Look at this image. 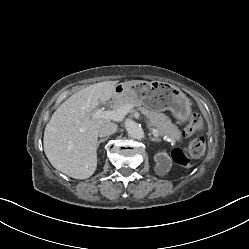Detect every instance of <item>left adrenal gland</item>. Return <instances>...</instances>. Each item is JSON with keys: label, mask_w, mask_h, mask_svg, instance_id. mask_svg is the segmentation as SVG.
Masks as SVG:
<instances>
[{"label": "left adrenal gland", "mask_w": 249, "mask_h": 249, "mask_svg": "<svg viewBox=\"0 0 249 249\" xmlns=\"http://www.w3.org/2000/svg\"><path fill=\"white\" fill-rule=\"evenodd\" d=\"M150 140L153 141V142H160L161 140L158 139V138H154L150 135Z\"/></svg>", "instance_id": "obj_1"}]
</instances>
